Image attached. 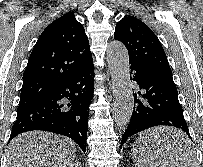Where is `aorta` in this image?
Here are the masks:
<instances>
[{"label":"aorta","mask_w":203,"mask_h":167,"mask_svg":"<svg viewBox=\"0 0 203 167\" xmlns=\"http://www.w3.org/2000/svg\"><path fill=\"white\" fill-rule=\"evenodd\" d=\"M107 62L112 79L114 96V120L124 128L131 119L134 98L130 81V64L126 47L119 41H112L107 47Z\"/></svg>","instance_id":"762f6f07"}]
</instances>
